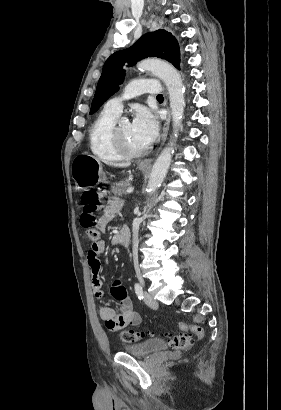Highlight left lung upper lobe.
<instances>
[{"label":"left lung upper lobe","mask_w":281,"mask_h":410,"mask_svg":"<svg viewBox=\"0 0 281 410\" xmlns=\"http://www.w3.org/2000/svg\"><path fill=\"white\" fill-rule=\"evenodd\" d=\"M147 57L165 59L180 69V50L175 37L161 29L145 34L130 48L117 51L107 59L97 84L90 114H93L118 90V86L125 76L123 65L128 63L132 66L137 61Z\"/></svg>","instance_id":"left-lung-upper-lobe-1"}]
</instances>
